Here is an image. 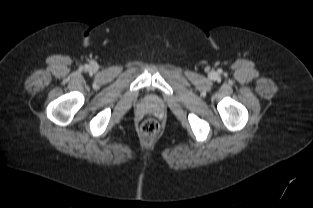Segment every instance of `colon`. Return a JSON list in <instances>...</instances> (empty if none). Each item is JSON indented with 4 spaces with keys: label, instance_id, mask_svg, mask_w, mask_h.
I'll return each mask as SVG.
<instances>
[{
    "label": "colon",
    "instance_id": "1",
    "mask_svg": "<svg viewBox=\"0 0 313 208\" xmlns=\"http://www.w3.org/2000/svg\"><path fill=\"white\" fill-rule=\"evenodd\" d=\"M160 130V125L155 119H147L145 120L140 127L141 134L145 138H153L155 137Z\"/></svg>",
    "mask_w": 313,
    "mask_h": 208
}]
</instances>
